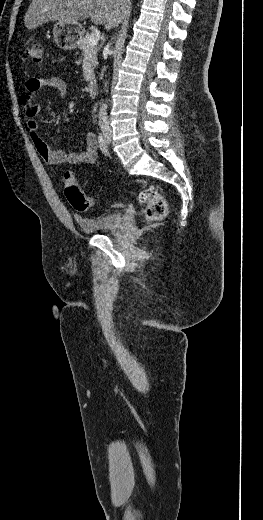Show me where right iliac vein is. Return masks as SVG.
Listing matches in <instances>:
<instances>
[{"mask_svg": "<svg viewBox=\"0 0 263 520\" xmlns=\"http://www.w3.org/2000/svg\"><path fill=\"white\" fill-rule=\"evenodd\" d=\"M104 135H105V137H106L107 139H109V133H108V132H105Z\"/></svg>", "mask_w": 263, "mask_h": 520, "instance_id": "right-iliac-vein-1", "label": "right iliac vein"}]
</instances>
